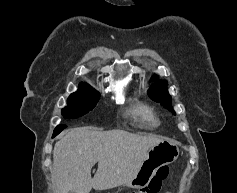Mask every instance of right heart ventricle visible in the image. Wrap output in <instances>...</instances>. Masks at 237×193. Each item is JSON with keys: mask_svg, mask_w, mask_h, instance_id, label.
I'll return each mask as SVG.
<instances>
[{"mask_svg": "<svg viewBox=\"0 0 237 193\" xmlns=\"http://www.w3.org/2000/svg\"><path fill=\"white\" fill-rule=\"evenodd\" d=\"M128 113L134 120L146 128H155L159 124L154 111L146 105L137 104L133 106Z\"/></svg>", "mask_w": 237, "mask_h": 193, "instance_id": "right-heart-ventricle-1", "label": "right heart ventricle"}]
</instances>
